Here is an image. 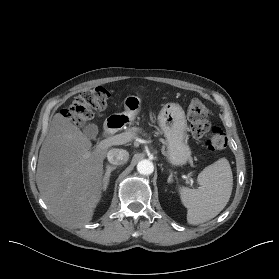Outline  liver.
<instances>
[{"label":"liver","instance_id":"1","mask_svg":"<svg viewBox=\"0 0 279 279\" xmlns=\"http://www.w3.org/2000/svg\"><path fill=\"white\" fill-rule=\"evenodd\" d=\"M91 147L89 137L56 113L39 153L36 182L41 198L71 228L92 220L104 188L108 149Z\"/></svg>","mask_w":279,"mask_h":279}]
</instances>
